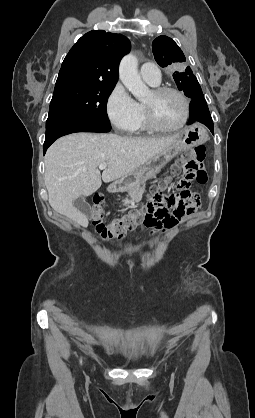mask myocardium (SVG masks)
<instances>
[{"label":"myocardium","instance_id":"myocardium-1","mask_svg":"<svg viewBox=\"0 0 255 418\" xmlns=\"http://www.w3.org/2000/svg\"><path fill=\"white\" fill-rule=\"evenodd\" d=\"M152 92L156 96H160L165 93H174L178 95L184 104V116H183L182 121L178 125L173 126V127H164V126H161L157 122L152 108L144 103L143 107H144L145 119H146L148 128L159 133H172V132H176L182 129L187 124L189 117H190V101L188 97L179 89L174 88V87H168V86L157 87L153 89Z\"/></svg>","mask_w":255,"mask_h":418}]
</instances>
